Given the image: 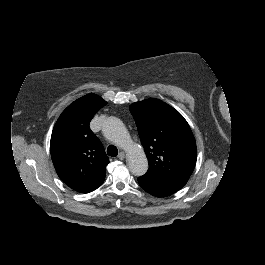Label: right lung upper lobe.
I'll return each instance as SVG.
<instances>
[{
    "label": "right lung upper lobe",
    "mask_w": 265,
    "mask_h": 265,
    "mask_svg": "<svg viewBox=\"0 0 265 265\" xmlns=\"http://www.w3.org/2000/svg\"><path fill=\"white\" fill-rule=\"evenodd\" d=\"M106 104L96 94L85 95L62 112L52 131L50 151L56 172L66 185L81 193L94 191L105 179L109 160L89 124Z\"/></svg>",
    "instance_id": "cb5924a9"
}]
</instances>
